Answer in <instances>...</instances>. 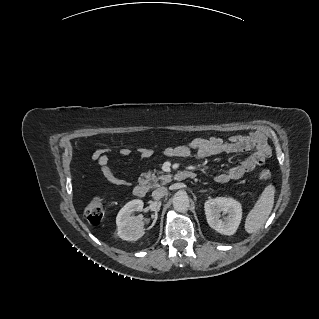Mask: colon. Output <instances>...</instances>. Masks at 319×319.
Segmentation results:
<instances>
[{
    "mask_svg": "<svg viewBox=\"0 0 319 319\" xmlns=\"http://www.w3.org/2000/svg\"><path fill=\"white\" fill-rule=\"evenodd\" d=\"M266 154H269V150H266ZM260 179L270 180L272 174L269 170L263 169L259 172ZM84 217L92 225H98L101 223L104 217V206L100 198H93L84 208Z\"/></svg>",
    "mask_w": 319,
    "mask_h": 319,
    "instance_id": "1",
    "label": "colon"
}]
</instances>
